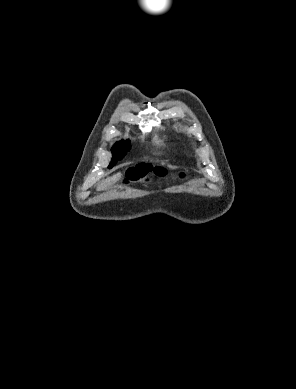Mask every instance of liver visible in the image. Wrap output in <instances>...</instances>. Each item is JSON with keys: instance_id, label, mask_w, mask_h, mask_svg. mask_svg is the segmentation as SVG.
Instances as JSON below:
<instances>
[{"instance_id": "6515ba94", "label": "liver", "mask_w": 296, "mask_h": 389, "mask_svg": "<svg viewBox=\"0 0 296 389\" xmlns=\"http://www.w3.org/2000/svg\"><path fill=\"white\" fill-rule=\"evenodd\" d=\"M121 178V173L114 174L112 177L107 178L106 180H103L101 183L97 186V191L105 190L108 186L114 184Z\"/></svg>"}]
</instances>
